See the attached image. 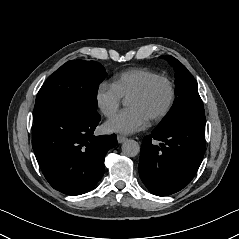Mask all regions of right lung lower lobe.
<instances>
[{"label": "right lung lower lobe", "instance_id": "obj_1", "mask_svg": "<svg viewBox=\"0 0 239 239\" xmlns=\"http://www.w3.org/2000/svg\"><path fill=\"white\" fill-rule=\"evenodd\" d=\"M100 115L64 107L34 122L32 147L56 190L67 195L90 191L104 173V158L117 145L115 134L94 136Z\"/></svg>", "mask_w": 239, "mask_h": 239}]
</instances>
